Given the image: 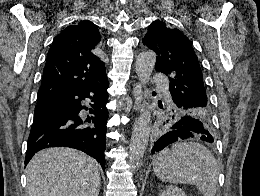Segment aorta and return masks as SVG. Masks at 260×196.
<instances>
[{
	"label": "aorta",
	"instance_id": "1",
	"mask_svg": "<svg viewBox=\"0 0 260 196\" xmlns=\"http://www.w3.org/2000/svg\"><path fill=\"white\" fill-rule=\"evenodd\" d=\"M156 63V54L151 51L141 52L135 62L138 79L146 85ZM151 131V114L147 109H142L138 119L133 125L131 141L129 144V163L133 168H139L145 153Z\"/></svg>",
	"mask_w": 260,
	"mask_h": 196
}]
</instances>
